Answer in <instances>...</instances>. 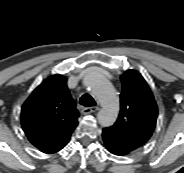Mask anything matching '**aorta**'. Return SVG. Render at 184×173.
Masks as SVG:
<instances>
[{
  "label": "aorta",
  "mask_w": 184,
  "mask_h": 173,
  "mask_svg": "<svg viewBox=\"0 0 184 173\" xmlns=\"http://www.w3.org/2000/svg\"><path fill=\"white\" fill-rule=\"evenodd\" d=\"M83 82L97 97L102 106L97 114L100 125L102 127L113 125L119 112V100L112 85L95 69H90L86 72Z\"/></svg>",
  "instance_id": "aorta-1"
}]
</instances>
